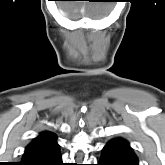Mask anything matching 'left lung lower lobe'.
Segmentation results:
<instances>
[{
    "mask_svg": "<svg viewBox=\"0 0 165 165\" xmlns=\"http://www.w3.org/2000/svg\"><path fill=\"white\" fill-rule=\"evenodd\" d=\"M98 165H138V162L124 158L119 150L104 147Z\"/></svg>",
    "mask_w": 165,
    "mask_h": 165,
    "instance_id": "1",
    "label": "left lung lower lobe"
}]
</instances>
